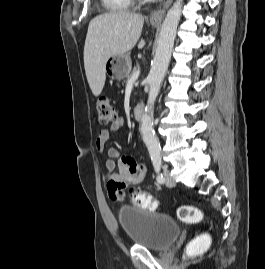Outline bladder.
Returning a JSON list of instances; mask_svg holds the SVG:
<instances>
[{
  "instance_id": "bladder-1",
  "label": "bladder",
  "mask_w": 265,
  "mask_h": 269,
  "mask_svg": "<svg viewBox=\"0 0 265 269\" xmlns=\"http://www.w3.org/2000/svg\"><path fill=\"white\" fill-rule=\"evenodd\" d=\"M121 228L131 243L154 251L167 250L181 235L180 225L167 215L122 206L117 211Z\"/></svg>"
}]
</instances>
